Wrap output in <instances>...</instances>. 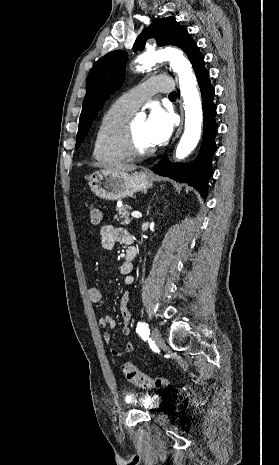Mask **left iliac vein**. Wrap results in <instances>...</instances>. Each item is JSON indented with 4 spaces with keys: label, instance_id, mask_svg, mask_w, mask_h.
Instances as JSON below:
<instances>
[{
    "label": "left iliac vein",
    "instance_id": "4c4485c4",
    "mask_svg": "<svg viewBox=\"0 0 279 465\" xmlns=\"http://www.w3.org/2000/svg\"><path fill=\"white\" fill-rule=\"evenodd\" d=\"M151 338L157 346H160L162 344V336L157 328L152 329Z\"/></svg>",
    "mask_w": 279,
    "mask_h": 465
}]
</instances>
